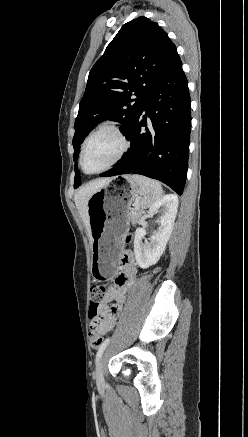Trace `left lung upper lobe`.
Returning a JSON list of instances; mask_svg holds the SVG:
<instances>
[{
  "label": "left lung upper lobe",
  "mask_w": 248,
  "mask_h": 437,
  "mask_svg": "<svg viewBox=\"0 0 248 437\" xmlns=\"http://www.w3.org/2000/svg\"><path fill=\"white\" fill-rule=\"evenodd\" d=\"M177 57L175 45L157 23L141 16L122 26L89 73L75 120L74 161L80 144L100 121H117L122 133L129 134L145 97ZM75 172L77 188V165Z\"/></svg>",
  "instance_id": "left-lung-upper-lobe-1"
}]
</instances>
